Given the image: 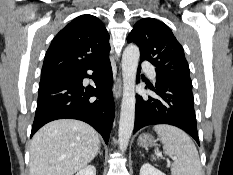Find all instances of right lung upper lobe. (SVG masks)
<instances>
[{
	"instance_id": "obj_1",
	"label": "right lung upper lobe",
	"mask_w": 233,
	"mask_h": 175,
	"mask_svg": "<svg viewBox=\"0 0 233 175\" xmlns=\"http://www.w3.org/2000/svg\"><path fill=\"white\" fill-rule=\"evenodd\" d=\"M109 34L93 15H81L66 25L46 52L41 80L67 75L94 64L110 52Z\"/></svg>"
}]
</instances>
